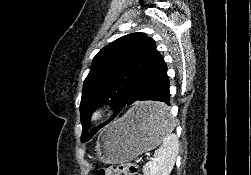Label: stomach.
<instances>
[{
  "label": "stomach",
  "instance_id": "obj_1",
  "mask_svg": "<svg viewBox=\"0 0 251 175\" xmlns=\"http://www.w3.org/2000/svg\"><path fill=\"white\" fill-rule=\"evenodd\" d=\"M158 100H138L123 117L108 123L102 129L96 145L93 161L120 163L131 161L143 151L154 149L173 134L170 114H153L154 111H170V106H156Z\"/></svg>",
  "mask_w": 251,
  "mask_h": 175
}]
</instances>
